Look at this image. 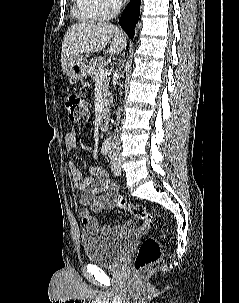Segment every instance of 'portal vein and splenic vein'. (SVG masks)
Segmentation results:
<instances>
[{"instance_id": "18ae733b", "label": "portal vein and splenic vein", "mask_w": 239, "mask_h": 303, "mask_svg": "<svg viewBox=\"0 0 239 303\" xmlns=\"http://www.w3.org/2000/svg\"><path fill=\"white\" fill-rule=\"evenodd\" d=\"M108 75V70L103 68L97 72V80H104Z\"/></svg>"}]
</instances>
